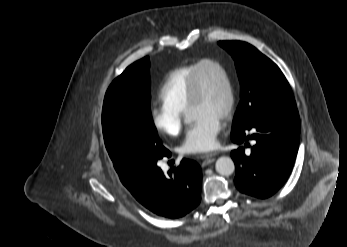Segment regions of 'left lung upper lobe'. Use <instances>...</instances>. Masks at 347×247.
I'll use <instances>...</instances> for the list:
<instances>
[{
  "label": "left lung upper lobe",
  "mask_w": 347,
  "mask_h": 247,
  "mask_svg": "<svg viewBox=\"0 0 347 247\" xmlns=\"http://www.w3.org/2000/svg\"><path fill=\"white\" fill-rule=\"evenodd\" d=\"M235 61L241 92L232 131L241 130L262 114L296 107L290 85L279 67L252 45L219 41Z\"/></svg>",
  "instance_id": "5c2ea615"
}]
</instances>
